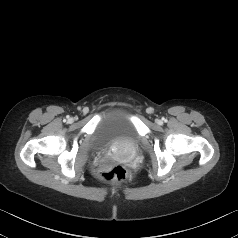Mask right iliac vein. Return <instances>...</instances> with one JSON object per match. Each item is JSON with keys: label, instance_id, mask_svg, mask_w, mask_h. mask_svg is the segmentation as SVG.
Wrapping results in <instances>:
<instances>
[{"label": "right iliac vein", "instance_id": "63e3f726", "mask_svg": "<svg viewBox=\"0 0 238 238\" xmlns=\"http://www.w3.org/2000/svg\"><path fill=\"white\" fill-rule=\"evenodd\" d=\"M69 122H73V119H72V118H70V119H69Z\"/></svg>", "mask_w": 238, "mask_h": 238}]
</instances>
